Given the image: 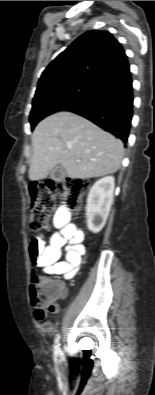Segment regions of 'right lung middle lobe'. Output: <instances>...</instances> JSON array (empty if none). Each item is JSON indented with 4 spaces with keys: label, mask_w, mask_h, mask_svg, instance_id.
Returning <instances> with one entry per match:
<instances>
[{
    "label": "right lung middle lobe",
    "mask_w": 155,
    "mask_h": 395,
    "mask_svg": "<svg viewBox=\"0 0 155 395\" xmlns=\"http://www.w3.org/2000/svg\"><path fill=\"white\" fill-rule=\"evenodd\" d=\"M100 82L75 80L50 86L36 92L30 113L33 129L39 121L48 115L65 110L95 91Z\"/></svg>",
    "instance_id": "dd1d6c3e"
}]
</instances>
